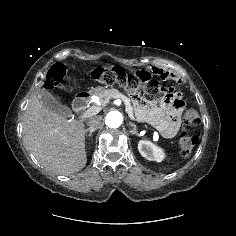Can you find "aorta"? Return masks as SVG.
<instances>
[{
  "instance_id": "aorta-1",
  "label": "aorta",
  "mask_w": 236,
  "mask_h": 236,
  "mask_svg": "<svg viewBox=\"0 0 236 236\" xmlns=\"http://www.w3.org/2000/svg\"><path fill=\"white\" fill-rule=\"evenodd\" d=\"M123 121V116L119 111H110L105 118V123L110 128H118Z\"/></svg>"
}]
</instances>
